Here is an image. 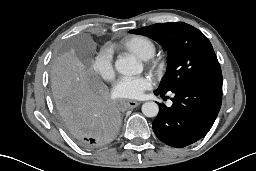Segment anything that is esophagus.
<instances>
[{
  "label": "esophagus",
  "instance_id": "obj_1",
  "mask_svg": "<svg viewBox=\"0 0 256 171\" xmlns=\"http://www.w3.org/2000/svg\"><path fill=\"white\" fill-rule=\"evenodd\" d=\"M140 105V102L138 101H134V100H129L127 102V106L130 108V109H134L136 107H138Z\"/></svg>",
  "mask_w": 256,
  "mask_h": 171
}]
</instances>
